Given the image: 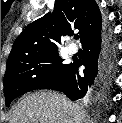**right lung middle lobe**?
Listing matches in <instances>:
<instances>
[{
  "mask_svg": "<svg viewBox=\"0 0 122 123\" xmlns=\"http://www.w3.org/2000/svg\"><path fill=\"white\" fill-rule=\"evenodd\" d=\"M70 65L63 63L58 52H53L31 57L7 67L3 81L6 106L8 107L14 98L40 89L60 78Z\"/></svg>",
  "mask_w": 122,
  "mask_h": 123,
  "instance_id": "dd1d6c3e",
  "label": "right lung middle lobe"
}]
</instances>
